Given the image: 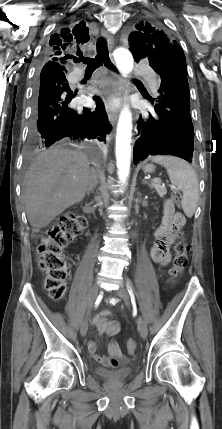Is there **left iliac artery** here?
<instances>
[{
  "mask_svg": "<svg viewBox=\"0 0 222 429\" xmlns=\"http://www.w3.org/2000/svg\"><path fill=\"white\" fill-rule=\"evenodd\" d=\"M127 287H128L129 293L131 294L132 293V288L129 285Z\"/></svg>",
  "mask_w": 222,
  "mask_h": 429,
  "instance_id": "left-iliac-artery-1",
  "label": "left iliac artery"
}]
</instances>
